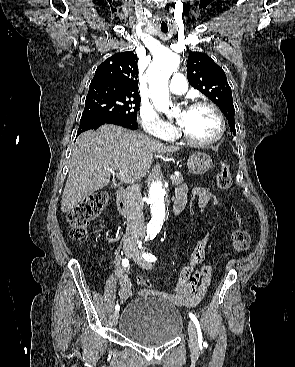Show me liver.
Returning a JSON list of instances; mask_svg holds the SVG:
<instances>
[{
	"instance_id": "liver-1",
	"label": "liver",
	"mask_w": 295,
	"mask_h": 367,
	"mask_svg": "<svg viewBox=\"0 0 295 367\" xmlns=\"http://www.w3.org/2000/svg\"><path fill=\"white\" fill-rule=\"evenodd\" d=\"M179 149V146H164L144 134L114 125L82 133L72 151L61 211L70 212L93 192L107 186L109 170L126 171L139 180L151 167L153 156Z\"/></svg>"
}]
</instances>
